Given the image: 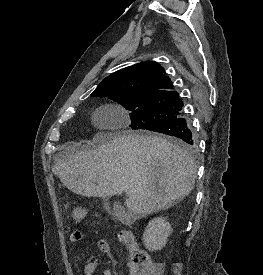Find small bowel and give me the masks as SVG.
Returning <instances> with one entry per match:
<instances>
[{"label": "small bowel", "instance_id": "c3829d8e", "mask_svg": "<svg viewBox=\"0 0 263 275\" xmlns=\"http://www.w3.org/2000/svg\"><path fill=\"white\" fill-rule=\"evenodd\" d=\"M83 238V234L80 231L73 232L69 237V244L73 245L77 242L81 241ZM97 246L101 252L106 255L111 253V245L104 239H100L97 242ZM99 263L96 260L90 259L85 267H84V275H95V271L98 267ZM129 272L128 275H142L141 271H139L135 266L131 263L128 264ZM102 275H112L111 271L106 269L102 272Z\"/></svg>", "mask_w": 263, "mask_h": 275}]
</instances>
